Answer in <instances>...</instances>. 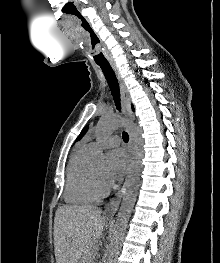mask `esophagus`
Wrapping results in <instances>:
<instances>
[{
  "instance_id": "1",
  "label": "esophagus",
  "mask_w": 220,
  "mask_h": 263,
  "mask_svg": "<svg viewBox=\"0 0 220 263\" xmlns=\"http://www.w3.org/2000/svg\"><path fill=\"white\" fill-rule=\"evenodd\" d=\"M112 68L116 74V77H117V80L119 83L124 115L126 116L128 121L132 122L134 120V115H133L132 110H131V104H130L128 89H127L125 82H124L123 78L121 77L117 67L115 65H113ZM128 133H129L128 151H129L131 163H130V166L128 168V172H127L123 186L115 194V196L111 199V201L109 202V204L107 205V207L105 209V215L107 217H113L116 214V212L119 208V205L121 203V199H122L123 195L125 194L126 189L129 185L130 173H131V168H132V163H133V137H132V133H131L130 129H128Z\"/></svg>"
}]
</instances>
